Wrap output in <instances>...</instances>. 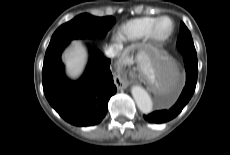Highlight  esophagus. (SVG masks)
Masks as SVG:
<instances>
[{
    "label": "esophagus",
    "mask_w": 230,
    "mask_h": 155,
    "mask_svg": "<svg viewBox=\"0 0 230 155\" xmlns=\"http://www.w3.org/2000/svg\"><path fill=\"white\" fill-rule=\"evenodd\" d=\"M115 84L117 89H125L128 86L129 82L128 80L124 79L121 75H117L115 77Z\"/></svg>",
    "instance_id": "34e87169"
}]
</instances>
